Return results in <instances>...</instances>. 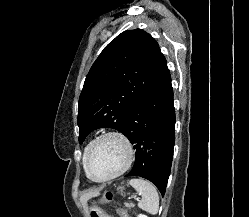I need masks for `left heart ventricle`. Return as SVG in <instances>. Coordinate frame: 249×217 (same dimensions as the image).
<instances>
[{
	"label": "left heart ventricle",
	"mask_w": 249,
	"mask_h": 217,
	"mask_svg": "<svg viewBox=\"0 0 249 217\" xmlns=\"http://www.w3.org/2000/svg\"><path fill=\"white\" fill-rule=\"evenodd\" d=\"M125 159L124 145L116 138H107L95 146L89 159V168L94 177L104 178L118 171Z\"/></svg>",
	"instance_id": "left-heart-ventricle-1"
}]
</instances>
